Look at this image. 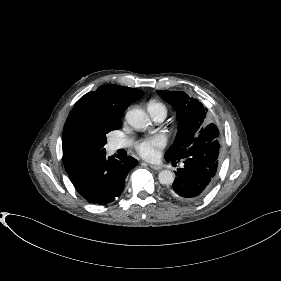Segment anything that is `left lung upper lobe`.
Wrapping results in <instances>:
<instances>
[{
    "mask_svg": "<svg viewBox=\"0 0 281 281\" xmlns=\"http://www.w3.org/2000/svg\"><path fill=\"white\" fill-rule=\"evenodd\" d=\"M157 93L173 106L179 121L176 139L165 153L166 160H180L192 145L218 140V128L212 123L207 125V109L197 99L181 91L157 90Z\"/></svg>",
    "mask_w": 281,
    "mask_h": 281,
    "instance_id": "obj_1",
    "label": "left lung upper lobe"
}]
</instances>
